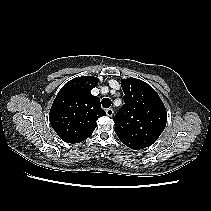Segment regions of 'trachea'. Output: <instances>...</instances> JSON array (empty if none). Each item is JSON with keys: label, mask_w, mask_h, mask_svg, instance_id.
<instances>
[{"label": "trachea", "mask_w": 211, "mask_h": 211, "mask_svg": "<svg viewBox=\"0 0 211 211\" xmlns=\"http://www.w3.org/2000/svg\"><path fill=\"white\" fill-rule=\"evenodd\" d=\"M111 100L109 98L102 99V106L104 108H109L111 106Z\"/></svg>", "instance_id": "trachea-1"}]
</instances>
